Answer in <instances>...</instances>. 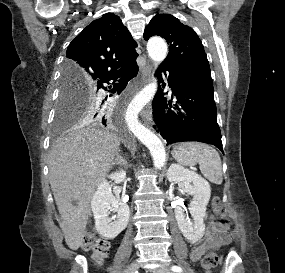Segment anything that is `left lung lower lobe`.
Instances as JSON below:
<instances>
[{
    "instance_id": "0a47b994",
    "label": "left lung lower lobe",
    "mask_w": 285,
    "mask_h": 273,
    "mask_svg": "<svg viewBox=\"0 0 285 273\" xmlns=\"http://www.w3.org/2000/svg\"><path fill=\"white\" fill-rule=\"evenodd\" d=\"M160 70L169 71L168 83L177 99L175 104L169 101L168 108L167 100L159 90L152 104L158 131L167 144L198 141L212 144L224 154L213 85L186 80L174 69L163 65Z\"/></svg>"
}]
</instances>
